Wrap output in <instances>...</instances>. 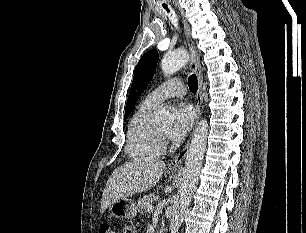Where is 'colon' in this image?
<instances>
[{
    "instance_id": "colon-1",
    "label": "colon",
    "mask_w": 306,
    "mask_h": 233,
    "mask_svg": "<svg viewBox=\"0 0 306 233\" xmlns=\"http://www.w3.org/2000/svg\"><path fill=\"white\" fill-rule=\"evenodd\" d=\"M129 232L131 233L132 231L129 230ZM99 233H116V232H115V229H114L112 224H110V223H103L100 226Z\"/></svg>"
}]
</instances>
